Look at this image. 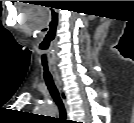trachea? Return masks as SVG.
<instances>
[{"mask_svg": "<svg viewBox=\"0 0 134 123\" xmlns=\"http://www.w3.org/2000/svg\"><path fill=\"white\" fill-rule=\"evenodd\" d=\"M43 68H44V79H45L46 85L48 87V90H49L52 98L54 99L55 103L59 107L60 119H63L65 117V109H64L62 100L60 98L58 89L53 81L52 75L48 71V66L44 61H43Z\"/></svg>", "mask_w": 134, "mask_h": 123, "instance_id": "obj_1", "label": "trachea"}]
</instances>
